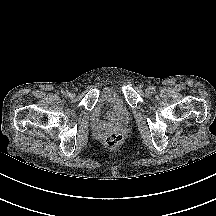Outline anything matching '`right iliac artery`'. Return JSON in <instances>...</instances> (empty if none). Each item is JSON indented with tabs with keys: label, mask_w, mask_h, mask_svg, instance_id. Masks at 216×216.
Returning <instances> with one entry per match:
<instances>
[{
	"label": "right iliac artery",
	"mask_w": 216,
	"mask_h": 216,
	"mask_svg": "<svg viewBox=\"0 0 216 216\" xmlns=\"http://www.w3.org/2000/svg\"><path fill=\"white\" fill-rule=\"evenodd\" d=\"M64 95H65V96H69L70 93H69L68 91H66V92H64Z\"/></svg>",
	"instance_id": "82829eb1"
}]
</instances>
